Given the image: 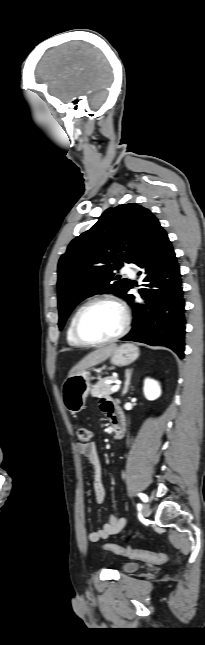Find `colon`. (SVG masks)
I'll return each instance as SVG.
<instances>
[{"label": "colon", "mask_w": 205, "mask_h": 645, "mask_svg": "<svg viewBox=\"0 0 205 645\" xmlns=\"http://www.w3.org/2000/svg\"><path fill=\"white\" fill-rule=\"evenodd\" d=\"M75 433L78 438L79 444L87 446L90 444L91 432L83 425L75 426ZM104 551L113 552L118 555L126 556L132 559H139L146 562L161 564L166 561V555L163 553L150 552L140 549L124 548L116 544H106L103 546Z\"/></svg>", "instance_id": "obj_1"}]
</instances>
